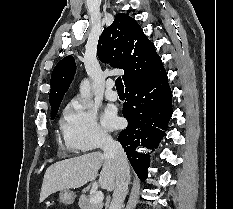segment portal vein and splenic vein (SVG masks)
I'll return each instance as SVG.
<instances>
[{
  "instance_id": "obj_1",
  "label": "portal vein and splenic vein",
  "mask_w": 233,
  "mask_h": 209,
  "mask_svg": "<svg viewBox=\"0 0 233 209\" xmlns=\"http://www.w3.org/2000/svg\"><path fill=\"white\" fill-rule=\"evenodd\" d=\"M104 199V194L102 191H96L93 196L90 198V203L97 204L102 203Z\"/></svg>"
}]
</instances>
